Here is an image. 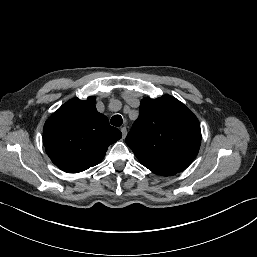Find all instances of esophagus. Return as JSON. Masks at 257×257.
I'll list each match as a JSON object with an SVG mask.
<instances>
[{
    "instance_id": "34e87169",
    "label": "esophagus",
    "mask_w": 257,
    "mask_h": 257,
    "mask_svg": "<svg viewBox=\"0 0 257 257\" xmlns=\"http://www.w3.org/2000/svg\"><path fill=\"white\" fill-rule=\"evenodd\" d=\"M121 132H122V138L124 139L127 135V128L126 127H122L121 128Z\"/></svg>"
}]
</instances>
